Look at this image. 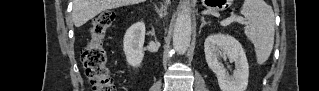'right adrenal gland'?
Here are the masks:
<instances>
[{
    "instance_id": "right-adrenal-gland-1",
    "label": "right adrenal gland",
    "mask_w": 319,
    "mask_h": 91,
    "mask_svg": "<svg viewBox=\"0 0 319 91\" xmlns=\"http://www.w3.org/2000/svg\"><path fill=\"white\" fill-rule=\"evenodd\" d=\"M167 6H168V1H166L164 5L162 4L160 8H158L157 5H155V11L161 19L167 15Z\"/></svg>"
}]
</instances>
